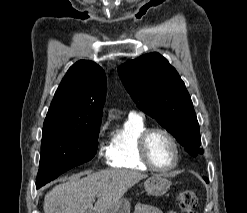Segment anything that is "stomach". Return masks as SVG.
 <instances>
[{
  "label": "stomach",
  "mask_w": 247,
  "mask_h": 213,
  "mask_svg": "<svg viewBox=\"0 0 247 213\" xmlns=\"http://www.w3.org/2000/svg\"><path fill=\"white\" fill-rule=\"evenodd\" d=\"M171 182L162 175H153L144 182L146 192L151 196H162L170 188ZM130 202L121 198L116 204L102 213H130Z\"/></svg>",
  "instance_id": "stomach-1"
}]
</instances>
